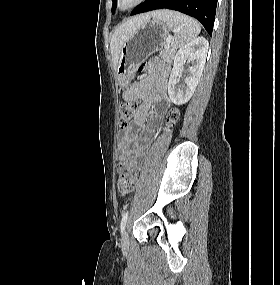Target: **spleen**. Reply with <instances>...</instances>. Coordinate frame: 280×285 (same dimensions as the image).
I'll return each instance as SVG.
<instances>
[{"label": "spleen", "instance_id": "1", "mask_svg": "<svg viewBox=\"0 0 280 285\" xmlns=\"http://www.w3.org/2000/svg\"><path fill=\"white\" fill-rule=\"evenodd\" d=\"M154 19L164 21L168 28L173 31L174 36L171 41L173 49L181 48L191 42L201 31V27L195 19L175 11H157Z\"/></svg>", "mask_w": 280, "mask_h": 285}]
</instances>
